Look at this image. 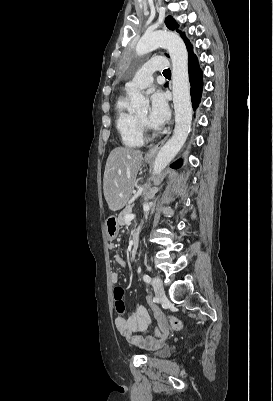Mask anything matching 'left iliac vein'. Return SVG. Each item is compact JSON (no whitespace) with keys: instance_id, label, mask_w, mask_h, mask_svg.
Wrapping results in <instances>:
<instances>
[{"instance_id":"4c4485c4","label":"left iliac vein","mask_w":273,"mask_h":401,"mask_svg":"<svg viewBox=\"0 0 273 401\" xmlns=\"http://www.w3.org/2000/svg\"><path fill=\"white\" fill-rule=\"evenodd\" d=\"M152 285H153V288H154V291H155L157 297L160 300H164L165 292H164L162 280L158 277H154L152 279Z\"/></svg>"}]
</instances>
